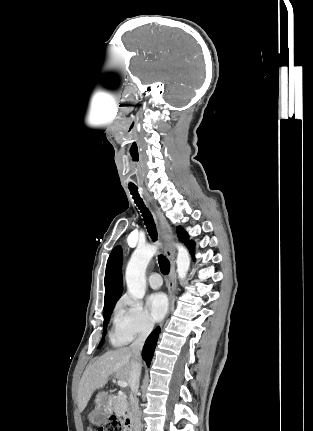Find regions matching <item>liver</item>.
Wrapping results in <instances>:
<instances>
[{
    "label": "liver",
    "instance_id": "liver-1",
    "mask_svg": "<svg viewBox=\"0 0 313 431\" xmlns=\"http://www.w3.org/2000/svg\"><path fill=\"white\" fill-rule=\"evenodd\" d=\"M133 361L130 348L122 347L106 352L90 364L83 373L78 387V408L82 412L92 394L103 388L114 375L116 379L129 383V375Z\"/></svg>",
    "mask_w": 313,
    "mask_h": 431
}]
</instances>
